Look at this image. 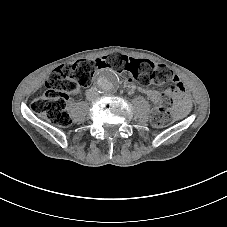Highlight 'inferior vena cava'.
Here are the masks:
<instances>
[{
	"label": "inferior vena cava",
	"mask_w": 227,
	"mask_h": 227,
	"mask_svg": "<svg viewBox=\"0 0 227 227\" xmlns=\"http://www.w3.org/2000/svg\"><path fill=\"white\" fill-rule=\"evenodd\" d=\"M87 99L88 100H97L99 99V93H98V90L97 88H90L88 91H87Z\"/></svg>",
	"instance_id": "inferior-vena-cava-1"
}]
</instances>
